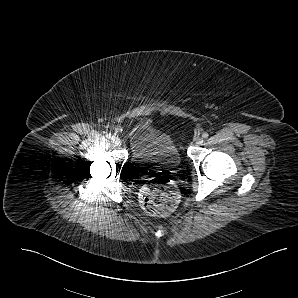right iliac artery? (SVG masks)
Returning a JSON list of instances; mask_svg holds the SVG:
<instances>
[{
	"instance_id": "1",
	"label": "right iliac artery",
	"mask_w": 298,
	"mask_h": 298,
	"mask_svg": "<svg viewBox=\"0 0 298 298\" xmlns=\"http://www.w3.org/2000/svg\"><path fill=\"white\" fill-rule=\"evenodd\" d=\"M107 138L112 140L114 137L112 134L109 133V134H107Z\"/></svg>"
}]
</instances>
